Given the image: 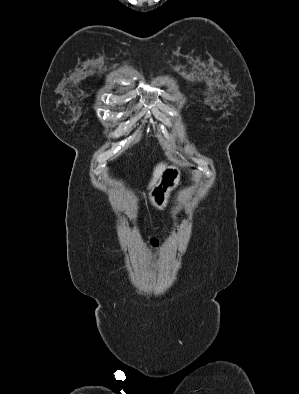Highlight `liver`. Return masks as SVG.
Returning a JSON list of instances; mask_svg holds the SVG:
<instances>
[{"label": "liver", "mask_w": 299, "mask_h": 394, "mask_svg": "<svg viewBox=\"0 0 299 394\" xmlns=\"http://www.w3.org/2000/svg\"><path fill=\"white\" fill-rule=\"evenodd\" d=\"M164 167H165V166H164L163 163H161V164H159V165H157V166L155 167L154 172H153V178H152V181H151L150 184H149V187H152V186L155 184V182H156L157 179L159 178V176H160V174H161V172H162V170H163Z\"/></svg>", "instance_id": "1"}]
</instances>
